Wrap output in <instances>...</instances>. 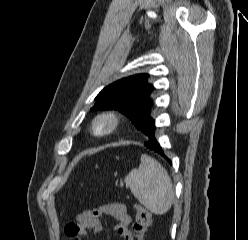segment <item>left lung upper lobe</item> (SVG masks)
<instances>
[{
    "instance_id": "left-lung-upper-lobe-1",
    "label": "left lung upper lobe",
    "mask_w": 248,
    "mask_h": 240,
    "mask_svg": "<svg viewBox=\"0 0 248 240\" xmlns=\"http://www.w3.org/2000/svg\"><path fill=\"white\" fill-rule=\"evenodd\" d=\"M148 74L132 75L106 86L95 98L96 110L115 109L127 116L134 126L147 135L153 122L150 98L153 86L148 84Z\"/></svg>"
}]
</instances>
